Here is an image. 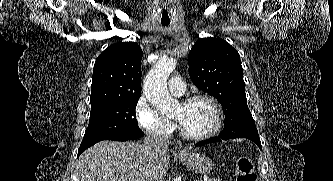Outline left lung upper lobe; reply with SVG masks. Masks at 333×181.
Returning <instances> with one entry per match:
<instances>
[{"label": "left lung upper lobe", "instance_id": "obj_1", "mask_svg": "<svg viewBox=\"0 0 333 181\" xmlns=\"http://www.w3.org/2000/svg\"><path fill=\"white\" fill-rule=\"evenodd\" d=\"M189 75L199 89L221 103L227 134L260 142L247 106L243 69L235 48L222 39H198L189 53Z\"/></svg>", "mask_w": 333, "mask_h": 181}]
</instances>
